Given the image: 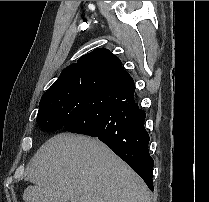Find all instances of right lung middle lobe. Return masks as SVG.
Segmentation results:
<instances>
[{"label": "right lung middle lobe", "mask_w": 209, "mask_h": 202, "mask_svg": "<svg viewBox=\"0 0 209 202\" xmlns=\"http://www.w3.org/2000/svg\"><path fill=\"white\" fill-rule=\"evenodd\" d=\"M90 79L88 74L59 78L41 98L39 127L46 131L62 129L66 119L77 111L82 91Z\"/></svg>", "instance_id": "obj_1"}]
</instances>
